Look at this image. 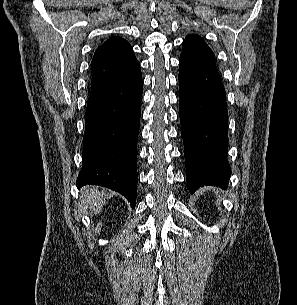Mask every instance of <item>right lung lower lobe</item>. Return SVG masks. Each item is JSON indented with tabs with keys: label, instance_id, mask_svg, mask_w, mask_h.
<instances>
[{
	"label": "right lung lower lobe",
	"instance_id": "1",
	"mask_svg": "<svg viewBox=\"0 0 297 305\" xmlns=\"http://www.w3.org/2000/svg\"><path fill=\"white\" fill-rule=\"evenodd\" d=\"M139 62L104 83L91 86L85 113L82 169L77 186L99 185L124 195L137 193V140L141 114Z\"/></svg>",
	"mask_w": 297,
	"mask_h": 305
}]
</instances>
